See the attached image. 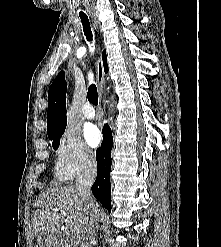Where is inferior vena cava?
<instances>
[{"label": "inferior vena cava", "instance_id": "1", "mask_svg": "<svg viewBox=\"0 0 221 247\" xmlns=\"http://www.w3.org/2000/svg\"><path fill=\"white\" fill-rule=\"evenodd\" d=\"M96 172V162L90 158L76 179V190L87 212L86 227L83 234L77 239L78 247H92L96 236L99 214L96 207L97 203L91 193Z\"/></svg>", "mask_w": 221, "mask_h": 247}]
</instances>
